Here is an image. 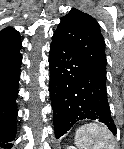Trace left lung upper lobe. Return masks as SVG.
<instances>
[{"mask_svg": "<svg viewBox=\"0 0 124 149\" xmlns=\"http://www.w3.org/2000/svg\"><path fill=\"white\" fill-rule=\"evenodd\" d=\"M55 32L97 71L106 75L105 41L93 17L73 8L61 19Z\"/></svg>", "mask_w": 124, "mask_h": 149, "instance_id": "1", "label": "left lung upper lobe"}]
</instances>
